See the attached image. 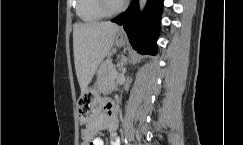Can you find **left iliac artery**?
<instances>
[{
	"label": "left iliac artery",
	"mask_w": 243,
	"mask_h": 145,
	"mask_svg": "<svg viewBox=\"0 0 243 145\" xmlns=\"http://www.w3.org/2000/svg\"><path fill=\"white\" fill-rule=\"evenodd\" d=\"M125 142H126V145H130V144H127V140H125Z\"/></svg>",
	"instance_id": "obj_1"
}]
</instances>
